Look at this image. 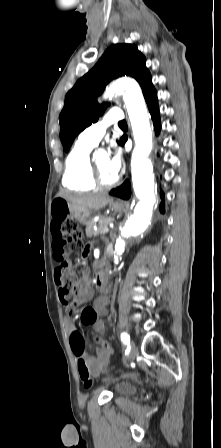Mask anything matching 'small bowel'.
Instances as JSON below:
<instances>
[{"mask_svg": "<svg viewBox=\"0 0 221 448\" xmlns=\"http://www.w3.org/2000/svg\"><path fill=\"white\" fill-rule=\"evenodd\" d=\"M58 228H59V224L54 221V218L52 215V236H53L52 248H53L54 256H56V253H57L56 245L58 243H60V237L55 232ZM80 284H81L80 294L75 299L74 303L71 306H67L68 312H70L74 306L85 303L92 298L93 294H92L91 289L88 286V283H87V280L85 277L81 278ZM106 306H107V298L105 296H100L99 298L94 300L92 307L96 311L97 316H102V315H105L107 312ZM81 320L83 321L82 315H81ZM93 327H94L95 331L98 332L99 334H103L105 332V324L99 318H97V320L93 324ZM65 328L69 335L71 349H72V352L75 355V357L77 359H83L86 362L88 368L90 369V371L93 375H95V376L99 375L105 369V367L109 364L111 356L114 353L113 348L109 344H107L105 342H101L97 348V354L95 356L89 355L85 351V343L81 337L82 343H83V351L81 354L78 355L71 344V335L74 332H76L71 318H67L65 320Z\"/></svg>", "mask_w": 221, "mask_h": 448, "instance_id": "obj_1", "label": "small bowel"}]
</instances>
